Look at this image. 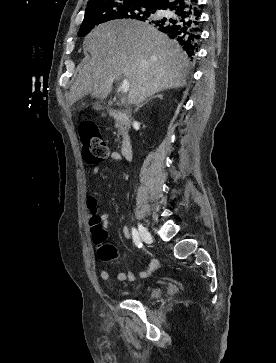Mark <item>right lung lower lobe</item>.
Segmentation results:
<instances>
[{"label": "right lung lower lobe", "instance_id": "1", "mask_svg": "<svg viewBox=\"0 0 276 363\" xmlns=\"http://www.w3.org/2000/svg\"><path fill=\"white\" fill-rule=\"evenodd\" d=\"M198 0H164L156 10L166 11L161 18H150L149 24L178 42L189 56H195L200 39Z\"/></svg>", "mask_w": 276, "mask_h": 363}]
</instances>
